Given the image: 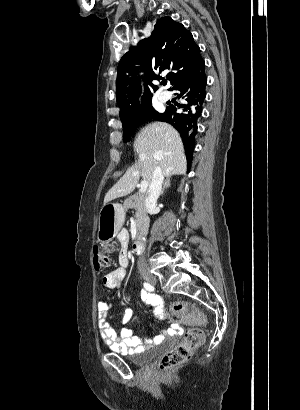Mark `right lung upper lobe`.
Listing matches in <instances>:
<instances>
[{"instance_id": "1", "label": "right lung upper lobe", "mask_w": 300, "mask_h": 410, "mask_svg": "<svg viewBox=\"0 0 300 410\" xmlns=\"http://www.w3.org/2000/svg\"><path fill=\"white\" fill-rule=\"evenodd\" d=\"M200 58V48L192 34L171 17L160 18L151 36L131 47L119 62L116 99L122 123L136 117L150 103L152 92L158 88L152 81L158 80L162 71H170L167 78L173 85ZM139 69L145 72L147 82L142 96ZM186 155L191 159L193 149L186 148Z\"/></svg>"}]
</instances>
